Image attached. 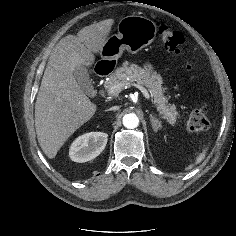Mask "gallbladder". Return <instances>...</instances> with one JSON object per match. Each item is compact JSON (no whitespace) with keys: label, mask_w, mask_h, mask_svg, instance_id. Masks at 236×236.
Here are the masks:
<instances>
[{"label":"gallbladder","mask_w":236,"mask_h":236,"mask_svg":"<svg viewBox=\"0 0 236 236\" xmlns=\"http://www.w3.org/2000/svg\"><path fill=\"white\" fill-rule=\"evenodd\" d=\"M74 76L77 79L82 90L89 96L94 92L93 85L90 79L89 71L86 67H81L74 72Z\"/></svg>","instance_id":"1"}]
</instances>
